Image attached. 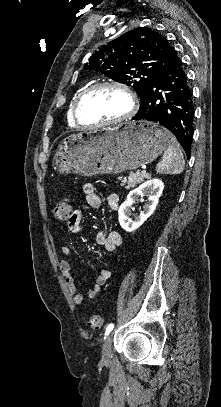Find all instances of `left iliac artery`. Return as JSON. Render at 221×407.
Masks as SVG:
<instances>
[{
  "instance_id": "1",
  "label": "left iliac artery",
  "mask_w": 221,
  "mask_h": 407,
  "mask_svg": "<svg viewBox=\"0 0 221 407\" xmlns=\"http://www.w3.org/2000/svg\"><path fill=\"white\" fill-rule=\"evenodd\" d=\"M113 328H114V324H112V323L107 326L106 331H105V337L107 335H109V333L113 330Z\"/></svg>"
}]
</instances>
